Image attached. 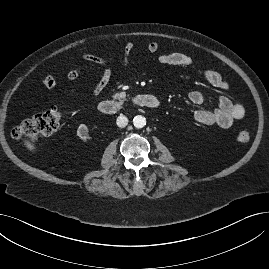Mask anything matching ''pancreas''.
<instances>
[{
    "label": "pancreas",
    "instance_id": "obj_1",
    "mask_svg": "<svg viewBox=\"0 0 269 269\" xmlns=\"http://www.w3.org/2000/svg\"><path fill=\"white\" fill-rule=\"evenodd\" d=\"M126 96L125 92H120L115 95H113V98L115 99H123Z\"/></svg>",
    "mask_w": 269,
    "mask_h": 269
}]
</instances>
